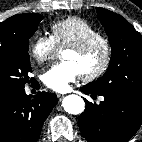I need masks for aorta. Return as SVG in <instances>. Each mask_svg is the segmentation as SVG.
<instances>
[{
	"mask_svg": "<svg viewBox=\"0 0 142 142\" xmlns=\"http://www.w3.org/2000/svg\"><path fill=\"white\" fill-rule=\"evenodd\" d=\"M62 106L69 114L77 115L84 111L85 103L80 96L71 94L63 99Z\"/></svg>",
	"mask_w": 142,
	"mask_h": 142,
	"instance_id": "1",
	"label": "aorta"
}]
</instances>
